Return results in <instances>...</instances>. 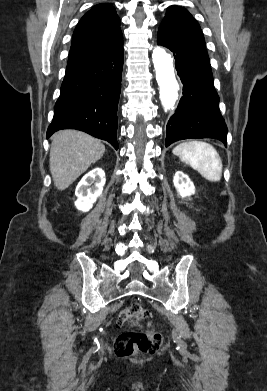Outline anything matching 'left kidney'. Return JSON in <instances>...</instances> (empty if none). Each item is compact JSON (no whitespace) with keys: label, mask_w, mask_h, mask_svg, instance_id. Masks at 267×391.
Listing matches in <instances>:
<instances>
[{"label":"left kidney","mask_w":267,"mask_h":391,"mask_svg":"<svg viewBox=\"0 0 267 391\" xmlns=\"http://www.w3.org/2000/svg\"><path fill=\"white\" fill-rule=\"evenodd\" d=\"M174 186L178 195L182 198L189 197L195 193V187L190 178L181 171H177L173 178Z\"/></svg>","instance_id":"obj_1"}]
</instances>
